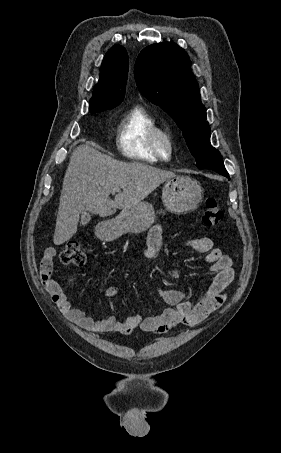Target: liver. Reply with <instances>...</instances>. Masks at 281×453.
I'll list each match as a JSON object with an SVG mask.
<instances>
[{
  "label": "liver",
  "mask_w": 281,
  "mask_h": 453,
  "mask_svg": "<svg viewBox=\"0 0 281 453\" xmlns=\"http://www.w3.org/2000/svg\"><path fill=\"white\" fill-rule=\"evenodd\" d=\"M177 176L144 162H122L88 144L73 150L60 194L54 245H63L77 233L81 212L110 216L117 208H130L159 184ZM114 186L123 188L110 198Z\"/></svg>",
  "instance_id": "obj_1"
}]
</instances>
